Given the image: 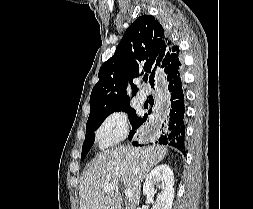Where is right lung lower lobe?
Instances as JSON below:
<instances>
[{"label":"right lung lower lobe","instance_id":"1","mask_svg":"<svg viewBox=\"0 0 253 209\" xmlns=\"http://www.w3.org/2000/svg\"><path fill=\"white\" fill-rule=\"evenodd\" d=\"M168 109L165 120L158 124L153 131L148 132L156 143L171 145L185 153V122H184V94L182 89L181 71L173 72L166 77ZM147 121V116L139 118L137 123L132 125V131L129 134V141L134 146L138 145L137 138L139 134L136 129Z\"/></svg>","mask_w":253,"mask_h":209}]
</instances>
